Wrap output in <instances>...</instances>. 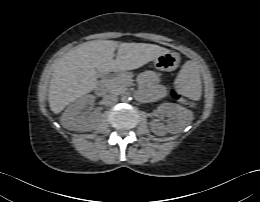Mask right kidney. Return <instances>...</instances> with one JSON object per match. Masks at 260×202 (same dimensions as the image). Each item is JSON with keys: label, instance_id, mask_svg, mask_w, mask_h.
<instances>
[{"label": "right kidney", "instance_id": "obj_1", "mask_svg": "<svg viewBox=\"0 0 260 202\" xmlns=\"http://www.w3.org/2000/svg\"><path fill=\"white\" fill-rule=\"evenodd\" d=\"M94 99L93 95H85L72 103L61 117L63 127L80 132H87L96 128L100 121V114L98 112H82L87 105L94 103Z\"/></svg>", "mask_w": 260, "mask_h": 202}]
</instances>
